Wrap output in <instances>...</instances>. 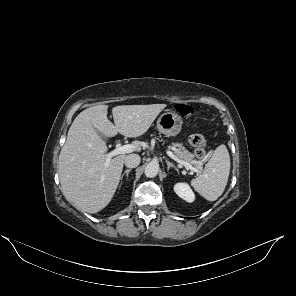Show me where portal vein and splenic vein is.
I'll use <instances>...</instances> for the list:
<instances>
[{
  "label": "portal vein and splenic vein",
  "instance_id": "obj_1",
  "mask_svg": "<svg viewBox=\"0 0 296 296\" xmlns=\"http://www.w3.org/2000/svg\"><path fill=\"white\" fill-rule=\"evenodd\" d=\"M134 151V146L132 144H127V145H122V146H117L113 151L107 153L106 155V165L109 164V162L111 161V159L114 157V156H117L119 154H126V153H131ZM167 155L173 159L174 161H176L177 163L185 166V168L187 170H191L192 172H196L198 173L199 170L192 167L189 163L185 162V161H182L181 159H179L176 155H174L172 152L168 151L167 152Z\"/></svg>",
  "mask_w": 296,
  "mask_h": 296
}]
</instances>
